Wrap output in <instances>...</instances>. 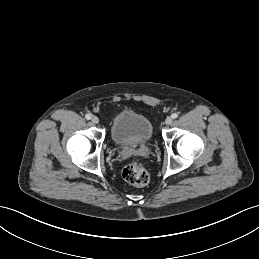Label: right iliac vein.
I'll return each instance as SVG.
<instances>
[{
    "label": "right iliac vein",
    "mask_w": 259,
    "mask_h": 259,
    "mask_svg": "<svg viewBox=\"0 0 259 259\" xmlns=\"http://www.w3.org/2000/svg\"><path fill=\"white\" fill-rule=\"evenodd\" d=\"M91 121H92V123H94V124H98V123H99V119H98L97 116H92V117H91Z\"/></svg>",
    "instance_id": "obj_1"
}]
</instances>
